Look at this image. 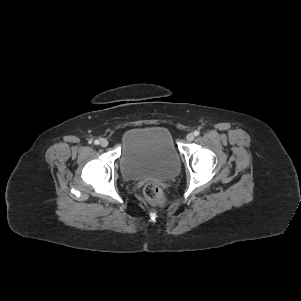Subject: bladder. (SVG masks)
<instances>
[{"label":"bladder","mask_w":301,"mask_h":301,"mask_svg":"<svg viewBox=\"0 0 301 301\" xmlns=\"http://www.w3.org/2000/svg\"><path fill=\"white\" fill-rule=\"evenodd\" d=\"M179 168V155L166 128L145 126L125 133L119 157V169L124 179L166 181L175 177Z\"/></svg>","instance_id":"31cf9c89"}]
</instances>
